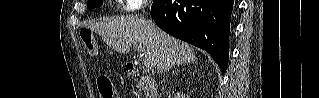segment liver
I'll return each instance as SVG.
<instances>
[{
    "instance_id": "liver-1",
    "label": "liver",
    "mask_w": 319,
    "mask_h": 98,
    "mask_svg": "<svg viewBox=\"0 0 319 98\" xmlns=\"http://www.w3.org/2000/svg\"><path fill=\"white\" fill-rule=\"evenodd\" d=\"M89 28L102 36L103 41L117 52L126 54L132 46H143L160 74L197 59L189 44L163 32L143 17L118 16L92 23Z\"/></svg>"
}]
</instances>
